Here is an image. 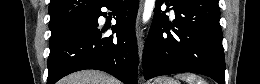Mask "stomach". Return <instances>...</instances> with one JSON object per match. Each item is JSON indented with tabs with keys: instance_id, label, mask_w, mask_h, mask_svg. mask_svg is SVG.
I'll use <instances>...</instances> for the list:
<instances>
[{
	"instance_id": "stomach-1",
	"label": "stomach",
	"mask_w": 260,
	"mask_h": 84,
	"mask_svg": "<svg viewBox=\"0 0 260 84\" xmlns=\"http://www.w3.org/2000/svg\"><path fill=\"white\" fill-rule=\"evenodd\" d=\"M153 84H180L177 80L170 77H161L156 79Z\"/></svg>"
}]
</instances>
